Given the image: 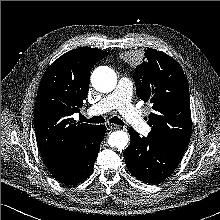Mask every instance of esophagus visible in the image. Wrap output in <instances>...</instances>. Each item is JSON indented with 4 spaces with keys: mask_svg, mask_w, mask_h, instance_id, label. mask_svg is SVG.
<instances>
[{
    "mask_svg": "<svg viewBox=\"0 0 220 220\" xmlns=\"http://www.w3.org/2000/svg\"><path fill=\"white\" fill-rule=\"evenodd\" d=\"M106 127H107L108 130H114V129L119 128L118 125H114V124H111V123L106 124Z\"/></svg>",
    "mask_w": 220,
    "mask_h": 220,
    "instance_id": "esophagus-1",
    "label": "esophagus"
}]
</instances>
